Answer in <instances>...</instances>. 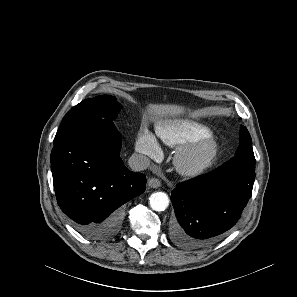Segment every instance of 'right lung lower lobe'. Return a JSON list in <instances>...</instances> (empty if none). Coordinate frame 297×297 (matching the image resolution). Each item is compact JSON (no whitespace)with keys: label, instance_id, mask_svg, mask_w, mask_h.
Instances as JSON below:
<instances>
[{"label":"right lung lower lobe","instance_id":"obj_1","mask_svg":"<svg viewBox=\"0 0 297 297\" xmlns=\"http://www.w3.org/2000/svg\"><path fill=\"white\" fill-rule=\"evenodd\" d=\"M51 170L57 203L74 228L93 240L115 236L123 205L145 191L144 174L120 158L115 127H94L55 137Z\"/></svg>","mask_w":297,"mask_h":297}]
</instances>
